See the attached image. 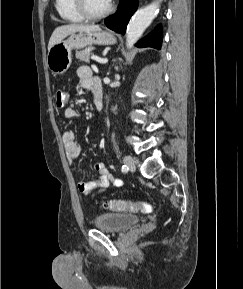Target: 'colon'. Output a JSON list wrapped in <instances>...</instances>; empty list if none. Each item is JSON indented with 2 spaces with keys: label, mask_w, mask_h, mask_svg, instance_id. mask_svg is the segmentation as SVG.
I'll return each mask as SVG.
<instances>
[{
  "label": "colon",
  "mask_w": 243,
  "mask_h": 289,
  "mask_svg": "<svg viewBox=\"0 0 243 289\" xmlns=\"http://www.w3.org/2000/svg\"><path fill=\"white\" fill-rule=\"evenodd\" d=\"M67 93L59 90L55 94V105L57 108H63L67 103ZM103 208L122 211V212H136L142 214H149L152 212V206L147 202H134L125 200H105L101 202Z\"/></svg>",
  "instance_id": "1"
}]
</instances>
